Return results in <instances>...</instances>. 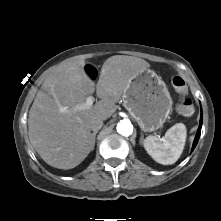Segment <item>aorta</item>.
I'll use <instances>...</instances> for the list:
<instances>
[{
	"mask_svg": "<svg viewBox=\"0 0 221 221\" xmlns=\"http://www.w3.org/2000/svg\"><path fill=\"white\" fill-rule=\"evenodd\" d=\"M117 132L123 136H129L133 132V125L129 120H121L117 125Z\"/></svg>",
	"mask_w": 221,
	"mask_h": 221,
	"instance_id": "obj_1",
	"label": "aorta"
}]
</instances>
